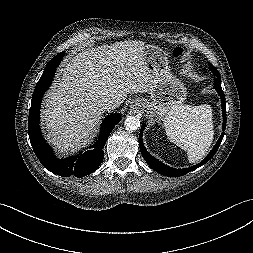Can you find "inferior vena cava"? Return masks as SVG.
<instances>
[{
    "instance_id": "obj_1",
    "label": "inferior vena cava",
    "mask_w": 253,
    "mask_h": 253,
    "mask_svg": "<svg viewBox=\"0 0 253 253\" xmlns=\"http://www.w3.org/2000/svg\"><path fill=\"white\" fill-rule=\"evenodd\" d=\"M118 106H120V103L117 100H112V99H104L101 104L100 107L103 111H110L112 109L117 108Z\"/></svg>"
}]
</instances>
